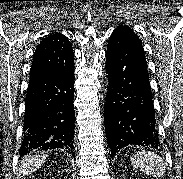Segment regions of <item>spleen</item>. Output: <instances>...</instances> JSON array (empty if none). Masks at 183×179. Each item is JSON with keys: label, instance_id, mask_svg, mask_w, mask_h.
Instances as JSON below:
<instances>
[{"label": "spleen", "instance_id": "spleen-1", "mask_svg": "<svg viewBox=\"0 0 183 179\" xmlns=\"http://www.w3.org/2000/svg\"><path fill=\"white\" fill-rule=\"evenodd\" d=\"M132 164L135 168L154 178H160L166 170L165 162L158 154L153 152H139L132 158Z\"/></svg>", "mask_w": 183, "mask_h": 179}]
</instances>
